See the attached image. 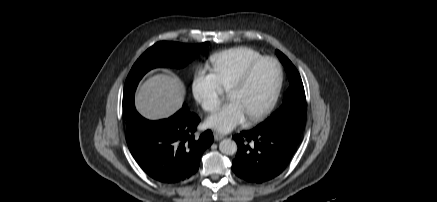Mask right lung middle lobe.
I'll return each instance as SVG.
<instances>
[{"instance_id":"obj_1","label":"right lung middle lobe","mask_w":437,"mask_h":202,"mask_svg":"<svg viewBox=\"0 0 437 202\" xmlns=\"http://www.w3.org/2000/svg\"><path fill=\"white\" fill-rule=\"evenodd\" d=\"M209 42L196 45L161 41L147 49L129 72L123 92V116L129 120L135 113L134 93L140 79L156 67L182 68L201 53Z\"/></svg>"}]
</instances>
